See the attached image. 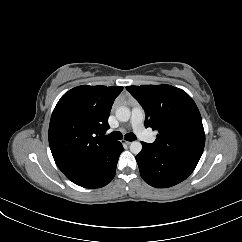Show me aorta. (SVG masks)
Returning a JSON list of instances; mask_svg holds the SVG:
<instances>
[{
	"label": "aorta",
	"instance_id": "1",
	"mask_svg": "<svg viewBox=\"0 0 242 242\" xmlns=\"http://www.w3.org/2000/svg\"><path fill=\"white\" fill-rule=\"evenodd\" d=\"M115 114L117 119L121 122H127L131 116L130 109L125 106L118 107L116 109ZM141 150H142V144L139 141H133L130 144V151L133 154H138L141 152Z\"/></svg>",
	"mask_w": 242,
	"mask_h": 242
}]
</instances>
